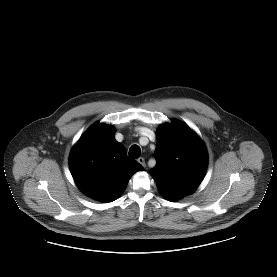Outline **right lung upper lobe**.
<instances>
[{"label": "right lung upper lobe", "instance_id": "1", "mask_svg": "<svg viewBox=\"0 0 277 277\" xmlns=\"http://www.w3.org/2000/svg\"><path fill=\"white\" fill-rule=\"evenodd\" d=\"M112 126L92 125L73 147L69 166L72 176L87 196L101 202L117 199L132 174L143 166L126 155L114 139Z\"/></svg>", "mask_w": 277, "mask_h": 277}]
</instances>
